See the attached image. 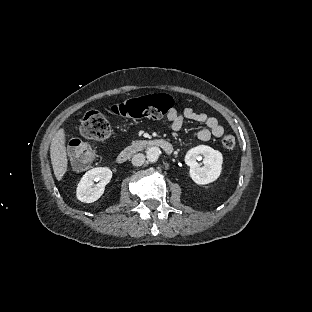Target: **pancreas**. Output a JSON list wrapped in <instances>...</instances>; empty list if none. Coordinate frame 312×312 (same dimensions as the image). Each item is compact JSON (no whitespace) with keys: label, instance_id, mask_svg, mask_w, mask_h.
I'll return each instance as SVG.
<instances>
[{"label":"pancreas","instance_id":"cf45deb5","mask_svg":"<svg viewBox=\"0 0 312 312\" xmlns=\"http://www.w3.org/2000/svg\"><path fill=\"white\" fill-rule=\"evenodd\" d=\"M147 144H148L147 140H143V141L135 140V141H132L130 152L131 153L140 152L147 146Z\"/></svg>","mask_w":312,"mask_h":312}]
</instances>
